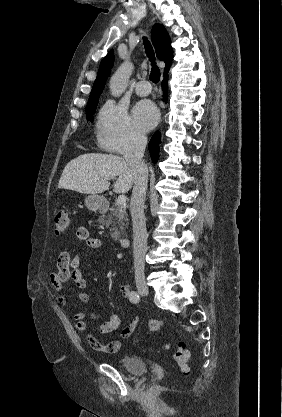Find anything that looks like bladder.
Listing matches in <instances>:
<instances>
[{
    "instance_id": "1",
    "label": "bladder",
    "mask_w": 282,
    "mask_h": 417,
    "mask_svg": "<svg viewBox=\"0 0 282 417\" xmlns=\"http://www.w3.org/2000/svg\"><path fill=\"white\" fill-rule=\"evenodd\" d=\"M118 366L129 374L140 376L147 372L145 360L138 356H124L117 360Z\"/></svg>"
}]
</instances>
